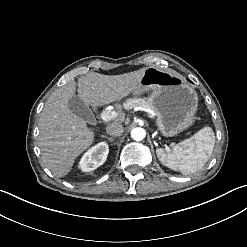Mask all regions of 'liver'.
Segmentation results:
<instances>
[{
  "label": "liver",
  "instance_id": "obj_1",
  "mask_svg": "<svg viewBox=\"0 0 247 247\" xmlns=\"http://www.w3.org/2000/svg\"><path fill=\"white\" fill-rule=\"evenodd\" d=\"M144 71L142 68L111 76L89 72L78 78V95L93 107L120 101L137 88ZM75 92L76 82L72 79L49 96L40 114L38 145L42 162L57 177L65 176L94 140L86 121L68 107Z\"/></svg>",
  "mask_w": 247,
  "mask_h": 247
}]
</instances>
